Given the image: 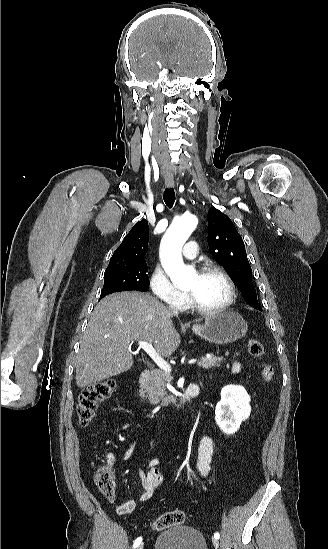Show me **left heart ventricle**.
I'll return each instance as SVG.
<instances>
[{
  "mask_svg": "<svg viewBox=\"0 0 328 549\" xmlns=\"http://www.w3.org/2000/svg\"><path fill=\"white\" fill-rule=\"evenodd\" d=\"M184 291L188 292L204 308H215L228 297V284L224 277L211 271L197 274L195 270L189 276Z\"/></svg>",
  "mask_w": 328,
  "mask_h": 549,
  "instance_id": "1",
  "label": "left heart ventricle"
}]
</instances>
